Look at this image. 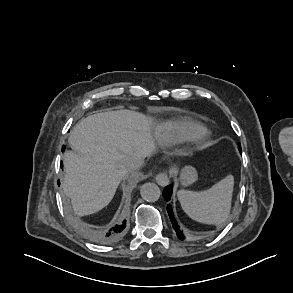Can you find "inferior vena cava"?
I'll use <instances>...</instances> for the list:
<instances>
[{"label": "inferior vena cava", "mask_w": 293, "mask_h": 293, "mask_svg": "<svg viewBox=\"0 0 293 293\" xmlns=\"http://www.w3.org/2000/svg\"><path fill=\"white\" fill-rule=\"evenodd\" d=\"M144 164V158H134L132 161H130L127 165L128 171H133L138 169Z\"/></svg>", "instance_id": "obj_1"}]
</instances>
